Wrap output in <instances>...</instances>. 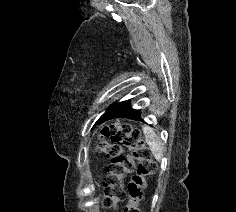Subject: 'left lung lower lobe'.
Here are the masks:
<instances>
[{"label": "left lung lower lobe", "mask_w": 236, "mask_h": 212, "mask_svg": "<svg viewBox=\"0 0 236 212\" xmlns=\"http://www.w3.org/2000/svg\"><path fill=\"white\" fill-rule=\"evenodd\" d=\"M118 117L140 120V112L131 107L130 100L116 102L99 118L98 124Z\"/></svg>", "instance_id": "0a47b994"}]
</instances>
